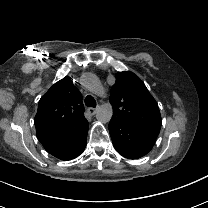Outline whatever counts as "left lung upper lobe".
I'll return each instance as SVG.
<instances>
[{
    "label": "left lung upper lobe",
    "mask_w": 208,
    "mask_h": 208,
    "mask_svg": "<svg viewBox=\"0 0 208 208\" xmlns=\"http://www.w3.org/2000/svg\"><path fill=\"white\" fill-rule=\"evenodd\" d=\"M112 118L131 125L155 144L162 125L159 107L142 80L130 71L118 72L111 88Z\"/></svg>",
    "instance_id": "1"
}]
</instances>
